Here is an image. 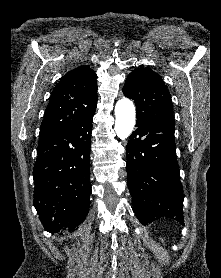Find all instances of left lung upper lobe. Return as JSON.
<instances>
[{
    "label": "left lung upper lobe",
    "mask_w": 221,
    "mask_h": 278,
    "mask_svg": "<svg viewBox=\"0 0 221 278\" xmlns=\"http://www.w3.org/2000/svg\"><path fill=\"white\" fill-rule=\"evenodd\" d=\"M123 93L134 100L137 120L174 121L170 93L153 70L142 67L132 71L126 79Z\"/></svg>",
    "instance_id": "5c2ea615"
}]
</instances>
